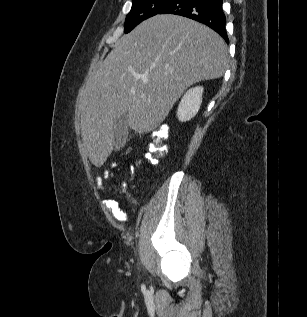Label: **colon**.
Segmentation results:
<instances>
[{"mask_svg":"<svg viewBox=\"0 0 307 317\" xmlns=\"http://www.w3.org/2000/svg\"><path fill=\"white\" fill-rule=\"evenodd\" d=\"M169 137V127L167 124H160L151 135V143L149 144L146 158L152 163H157L168 150L167 139ZM129 149L126 150L128 152Z\"/></svg>","mask_w":307,"mask_h":317,"instance_id":"obj_1","label":"colon"}]
</instances>
